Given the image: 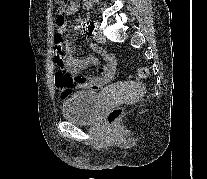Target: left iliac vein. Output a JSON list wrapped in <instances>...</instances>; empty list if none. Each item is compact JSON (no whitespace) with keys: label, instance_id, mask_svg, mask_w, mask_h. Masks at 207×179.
<instances>
[{"label":"left iliac vein","instance_id":"1","mask_svg":"<svg viewBox=\"0 0 207 179\" xmlns=\"http://www.w3.org/2000/svg\"><path fill=\"white\" fill-rule=\"evenodd\" d=\"M92 29L97 30L96 33L94 34V39L99 43L105 42V37H104L102 31L100 30L101 26L100 25H93Z\"/></svg>","mask_w":207,"mask_h":179}]
</instances>
